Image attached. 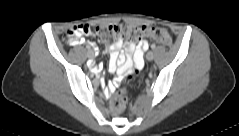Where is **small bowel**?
<instances>
[{"instance_id":"obj_1","label":"small bowel","mask_w":239,"mask_h":136,"mask_svg":"<svg viewBox=\"0 0 239 136\" xmlns=\"http://www.w3.org/2000/svg\"><path fill=\"white\" fill-rule=\"evenodd\" d=\"M122 47L123 39L121 37L109 47V70L116 72L118 76L108 85L109 91H112L114 86L120 83V76L125 72L132 68H142L144 65V50L148 49V44L145 41L130 42L126 49V54L122 52Z\"/></svg>"}]
</instances>
